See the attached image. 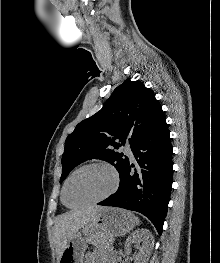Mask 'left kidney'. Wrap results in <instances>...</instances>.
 <instances>
[{
  "mask_svg": "<svg viewBox=\"0 0 220 263\" xmlns=\"http://www.w3.org/2000/svg\"><path fill=\"white\" fill-rule=\"evenodd\" d=\"M142 242V247L137 246L139 252L133 256L134 263H146L154 246V237L147 229L136 230L125 242V252L131 254V245Z\"/></svg>",
  "mask_w": 220,
  "mask_h": 263,
  "instance_id": "obj_1",
  "label": "left kidney"
}]
</instances>
